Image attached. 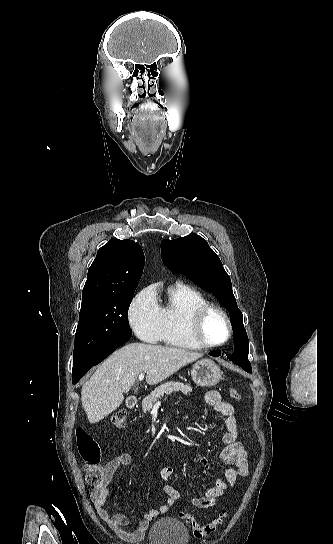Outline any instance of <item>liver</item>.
Wrapping results in <instances>:
<instances>
[{"label":"liver","instance_id":"6515ba94","mask_svg":"<svg viewBox=\"0 0 333 544\" xmlns=\"http://www.w3.org/2000/svg\"><path fill=\"white\" fill-rule=\"evenodd\" d=\"M203 355L185 349L131 343L107 358L83 385L82 406L90 423L115 411L123 402V393L129 392L138 375L146 373V382L155 385L183 366Z\"/></svg>","mask_w":333,"mask_h":544}]
</instances>
